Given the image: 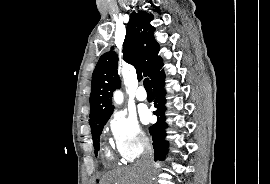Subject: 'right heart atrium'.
I'll return each instance as SVG.
<instances>
[{
  "label": "right heart atrium",
  "instance_id": "obj_1",
  "mask_svg": "<svg viewBox=\"0 0 270 184\" xmlns=\"http://www.w3.org/2000/svg\"><path fill=\"white\" fill-rule=\"evenodd\" d=\"M107 129L124 162H133L148 146V138L137 119L125 112H114L107 122Z\"/></svg>",
  "mask_w": 270,
  "mask_h": 184
}]
</instances>
